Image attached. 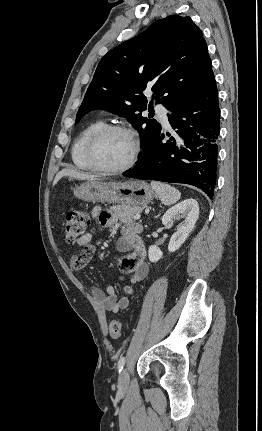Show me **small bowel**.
<instances>
[{
	"label": "small bowel",
	"instance_id": "c3829d8e",
	"mask_svg": "<svg viewBox=\"0 0 262 431\" xmlns=\"http://www.w3.org/2000/svg\"><path fill=\"white\" fill-rule=\"evenodd\" d=\"M91 215L100 225L113 226V231H117L114 226L116 223L114 213L102 210L100 207H94ZM120 232L121 236L118 239L117 248L125 252L126 255L119 261V267L123 273L130 274L131 283H140L148 273L145 245L140 235L141 225L136 222H130L124 224ZM91 239V234L86 233L76 241L78 247L84 248L80 255H72L70 258L71 269L77 276L88 265L95 252ZM121 278L124 277L122 276ZM91 292L94 300L106 311L117 313L130 305L128 296L117 297L116 288L112 284L108 285L105 291L93 286Z\"/></svg>",
	"mask_w": 262,
	"mask_h": 431
}]
</instances>
